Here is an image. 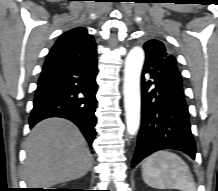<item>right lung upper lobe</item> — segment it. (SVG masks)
Segmentation results:
<instances>
[{
	"mask_svg": "<svg viewBox=\"0 0 218 191\" xmlns=\"http://www.w3.org/2000/svg\"><path fill=\"white\" fill-rule=\"evenodd\" d=\"M64 34L80 39H93L91 35H88L86 28L83 27L74 28Z\"/></svg>",
	"mask_w": 218,
	"mask_h": 191,
	"instance_id": "1",
	"label": "right lung upper lobe"
}]
</instances>
